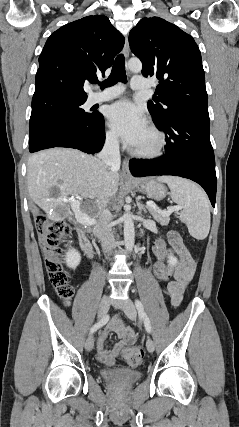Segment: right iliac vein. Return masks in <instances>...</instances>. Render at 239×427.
Segmentation results:
<instances>
[{"instance_id":"right-iliac-vein-1","label":"right iliac vein","mask_w":239,"mask_h":427,"mask_svg":"<svg viewBox=\"0 0 239 427\" xmlns=\"http://www.w3.org/2000/svg\"><path fill=\"white\" fill-rule=\"evenodd\" d=\"M109 307H110V299L108 296H104L99 305L98 317L103 318L107 314ZM93 347H94V337L93 335H90L86 340L85 348L87 351H91Z\"/></svg>"}]
</instances>
